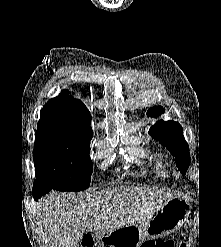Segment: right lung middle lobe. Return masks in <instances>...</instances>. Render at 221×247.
I'll list each match as a JSON object with an SVG mask.
<instances>
[{
    "label": "right lung middle lobe",
    "instance_id": "obj_1",
    "mask_svg": "<svg viewBox=\"0 0 221 247\" xmlns=\"http://www.w3.org/2000/svg\"><path fill=\"white\" fill-rule=\"evenodd\" d=\"M90 140L66 131L37 130L33 150L34 182L58 191L87 189L93 171Z\"/></svg>",
    "mask_w": 221,
    "mask_h": 247
}]
</instances>
